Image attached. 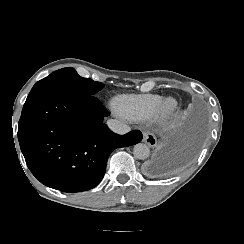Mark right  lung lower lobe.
I'll return each mask as SVG.
<instances>
[{
    "label": "right lung lower lobe",
    "mask_w": 244,
    "mask_h": 244,
    "mask_svg": "<svg viewBox=\"0 0 244 244\" xmlns=\"http://www.w3.org/2000/svg\"><path fill=\"white\" fill-rule=\"evenodd\" d=\"M108 115L95 96L66 90L30 92L18 123V140L32 174L63 192L98 185L111 152L142 140L137 130L112 132L103 123Z\"/></svg>",
    "instance_id": "obj_1"
}]
</instances>
